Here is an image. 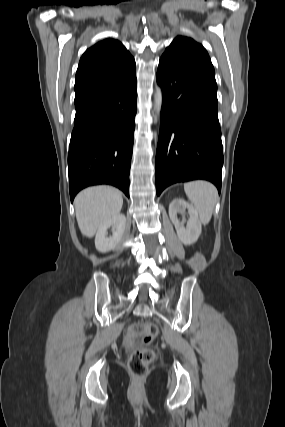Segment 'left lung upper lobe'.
<instances>
[{
  "label": "left lung upper lobe",
  "mask_w": 285,
  "mask_h": 427,
  "mask_svg": "<svg viewBox=\"0 0 285 427\" xmlns=\"http://www.w3.org/2000/svg\"><path fill=\"white\" fill-rule=\"evenodd\" d=\"M161 59L217 88L215 71L205 48L192 38L176 37Z\"/></svg>",
  "instance_id": "5c2ea615"
}]
</instances>
